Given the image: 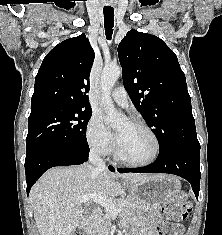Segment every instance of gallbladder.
Wrapping results in <instances>:
<instances>
[{"label":"gallbladder","mask_w":222,"mask_h":235,"mask_svg":"<svg viewBox=\"0 0 222 235\" xmlns=\"http://www.w3.org/2000/svg\"><path fill=\"white\" fill-rule=\"evenodd\" d=\"M92 211V207H86L85 212L86 214H90Z\"/></svg>","instance_id":"1"}]
</instances>
